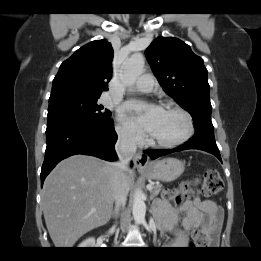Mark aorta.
<instances>
[{
  "label": "aorta",
  "mask_w": 261,
  "mask_h": 261,
  "mask_svg": "<svg viewBox=\"0 0 261 261\" xmlns=\"http://www.w3.org/2000/svg\"><path fill=\"white\" fill-rule=\"evenodd\" d=\"M144 65L145 60L142 54L136 53L127 59L122 65L123 83L129 86L133 85L137 78L143 73ZM132 214L136 224H141L145 221L146 205L144 202V194L139 190L134 194Z\"/></svg>",
  "instance_id": "762f6f07"
}]
</instances>
